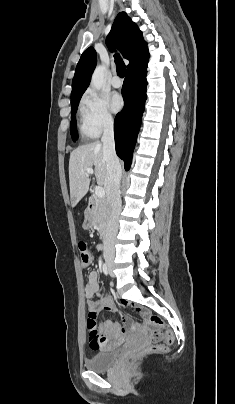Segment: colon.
<instances>
[{
    "mask_svg": "<svg viewBox=\"0 0 235 404\" xmlns=\"http://www.w3.org/2000/svg\"><path fill=\"white\" fill-rule=\"evenodd\" d=\"M80 264L83 269L89 267L91 263V252L84 242H80L79 246ZM135 311L138 315L146 319V326L150 328L149 335L152 341L156 342L153 346V351H164L166 346L173 342V334L170 330L161 329L165 327L164 321L156 314L149 313L147 310L137 307ZM135 326H140L139 322L134 323ZM87 328L89 331V339L94 344H100L103 342L102 338L98 337L96 332V321L93 316H89L87 320ZM164 341V344L159 342Z\"/></svg>",
    "mask_w": 235,
    "mask_h": 404,
    "instance_id": "colon-1",
    "label": "colon"
}]
</instances>
